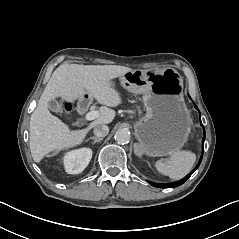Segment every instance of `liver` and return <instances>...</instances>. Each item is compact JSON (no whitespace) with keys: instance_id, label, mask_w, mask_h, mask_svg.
<instances>
[{"instance_id":"6515ba94","label":"liver","mask_w":239,"mask_h":239,"mask_svg":"<svg viewBox=\"0 0 239 239\" xmlns=\"http://www.w3.org/2000/svg\"><path fill=\"white\" fill-rule=\"evenodd\" d=\"M131 68L119 65H60L48 81L36 109L30 118V151L35 162L53 150H62L81 144L86 134L98 124H108L115 118V111L100 108V115L85 129L70 131L68 126L48 110V101L61 97L73 102L83 98L84 92L98 103L116 107L121 103L119 93L111 81Z\"/></svg>"}]
</instances>
